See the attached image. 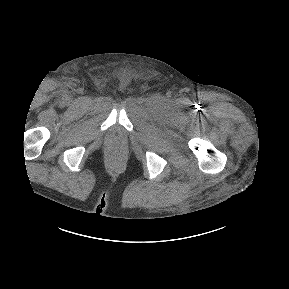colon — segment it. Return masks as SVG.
<instances>
[{"instance_id":"5ec220e1","label":"colon","mask_w":289,"mask_h":289,"mask_svg":"<svg viewBox=\"0 0 289 289\" xmlns=\"http://www.w3.org/2000/svg\"><path fill=\"white\" fill-rule=\"evenodd\" d=\"M118 156V154L117 153H113V157H117Z\"/></svg>"}]
</instances>
